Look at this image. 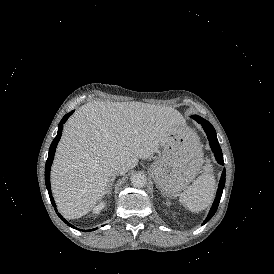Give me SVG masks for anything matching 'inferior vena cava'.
Segmentation results:
<instances>
[{
  "label": "inferior vena cava",
  "mask_w": 274,
  "mask_h": 274,
  "mask_svg": "<svg viewBox=\"0 0 274 274\" xmlns=\"http://www.w3.org/2000/svg\"><path fill=\"white\" fill-rule=\"evenodd\" d=\"M124 171H125V170H124V168L122 167L121 170H120V172H119L118 174H121V175H122V174L125 173Z\"/></svg>",
  "instance_id": "inferior-vena-cava-1"
}]
</instances>
